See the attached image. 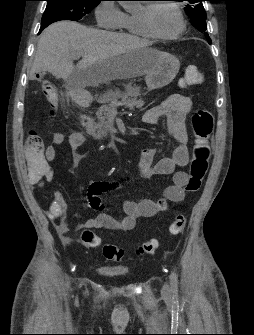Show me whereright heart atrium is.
I'll return each instance as SVG.
<instances>
[{"label":"right heart atrium","instance_id":"d8ad5b80","mask_svg":"<svg viewBox=\"0 0 254 335\" xmlns=\"http://www.w3.org/2000/svg\"><path fill=\"white\" fill-rule=\"evenodd\" d=\"M96 20L99 26L107 29L119 28L124 13L113 1H102L95 10Z\"/></svg>","mask_w":254,"mask_h":335}]
</instances>
